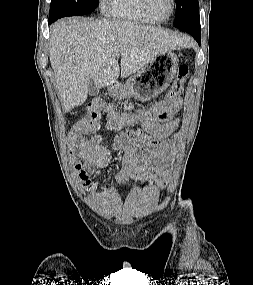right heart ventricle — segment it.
I'll return each mask as SVG.
<instances>
[{
    "label": "right heart ventricle",
    "mask_w": 253,
    "mask_h": 285,
    "mask_svg": "<svg viewBox=\"0 0 253 285\" xmlns=\"http://www.w3.org/2000/svg\"><path fill=\"white\" fill-rule=\"evenodd\" d=\"M106 10L112 17L128 22L149 23L141 10L140 0H106Z\"/></svg>",
    "instance_id": "e07e8e85"
}]
</instances>
